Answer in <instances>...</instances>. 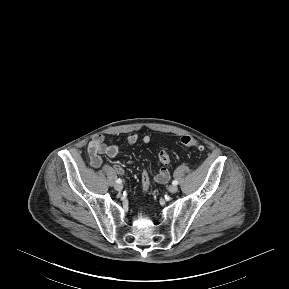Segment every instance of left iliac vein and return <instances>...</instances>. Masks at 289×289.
Returning a JSON list of instances; mask_svg holds the SVG:
<instances>
[{
  "instance_id": "4c4485c4",
  "label": "left iliac vein",
  "mask_w": 289,
  "mask_h": 289,
  "mask_svg": "<svg viewBox=\"0 0 289 289\" xmlns=\"http://www.w3.org/2000/svg\"><path fill=\"white\" fill-rule=\"evenodd\" d=\"M168 190L170 193H176L178 191V187L176 185H170Z\"/></svg>"
}]
</instances>
